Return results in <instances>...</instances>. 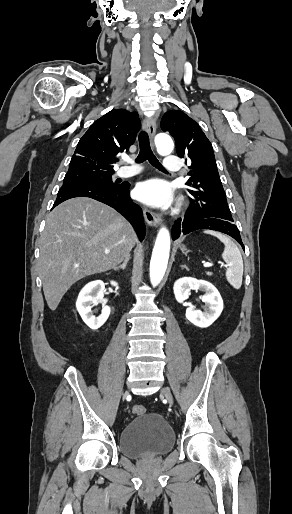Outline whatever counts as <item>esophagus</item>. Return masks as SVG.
<instances>
[{"instance_id":"1","label":"esophagus","mask_w":292,"mask_h":514,"mask_svg":"<svg viewBox=\"0 0 292 514\" xmlns=\"http://www.w3.org/2000/svg\"><path fill=\"white\" fill-rule=\"evenodd\" d=\"M143 128L148 132L153 144V138L156 133L155 119H153V117L144 118ZM143 215L146 222L152 227H157L161 222V216L158 213H154L151 210H148L147 208L143 209Z\"/></svg>"}]
</instances>
